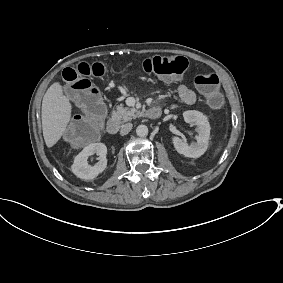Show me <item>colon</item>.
I'll return each instance as SVG.
<instances>
[{"label":"colon","instance_id":"obj_1","mask_svg":"<svg viewBox=\"0 0 283 283\" xmlns=\"http://www.w3.org/2000/svg\"><path fill=\"white\" fill-rule=\"evenodd\" d=\"M142 68L148 74L175 78L186 71L188 61L181 56H152L143 61ZM105 72L106 67L100 63H80L63 70L66 93L82 111L66 128L68 141L83 144L96 137L106 117L107 108L99 89L87 77L102 76ZM194 82L210 107L219 109L222 106L220 81L215 74L199 75Z\"/></svg>","mask_w":283,"mask_h":283}]
</instances>
